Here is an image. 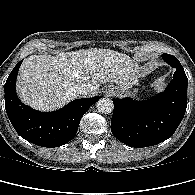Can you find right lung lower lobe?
Returning a JSON list of instances; mask_svg holds the SVG:
<instances>
[{
	"mask_svg": "<svg viewBox=\"0 0 195 195\" xmlns=\"http://www.w3.org/2000/svg\"><path fill=\"white\" fill-rule=\"evenodd\" d=\"M20 61L5 83V109L16 132L25 140L43 147H59L74 138L82 116L99 97L77 99L60 110L36 111L17 97L15 83Z\"/></svg>",
	"mask_w": 195,
	"mask_h": 195,
	"instance_id": "obj_1",
	"label": "right lung lower lobe"
}]
</instances>
